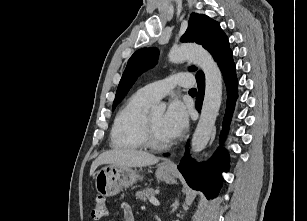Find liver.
Returning a JSON list of instances; mask_svg holds the SVG:
<instances>
[{"mask_svg":"<svg viewBox=\"0 0 307 221\" xmlns=\"http://www.w3.org/2000/svg\"><path fill=\"white\" fill-rule=\"evenodd\" d=\"M160 158L144 151L134 149H115L103 152L96 158L90 168V175L102 164H113L121 167H144L158 163Z\"/></svg>","mask_w":307,"mask_h":221,"instance_id":"obj_1","label":"liver"}]
</instances>
